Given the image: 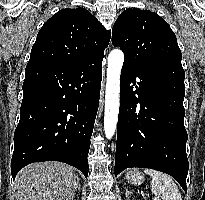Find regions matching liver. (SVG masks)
I'll return each instance as SVG.
<instances>
[{"mask_svg":"<svg viewBox=\"0 0 205 200\" xmlns=\"http://www.w3.org/2000/svg\"><path fill=\"white\" fill-rule=\"evenodd\" d=\"M78 175L60 162H39L25 166L16 176V200H72Z\"/></svg>","mask_w":205,"mask_h":200,"instance_id":"6515ba94","label":"liver"}]
</instances>
